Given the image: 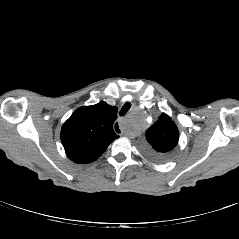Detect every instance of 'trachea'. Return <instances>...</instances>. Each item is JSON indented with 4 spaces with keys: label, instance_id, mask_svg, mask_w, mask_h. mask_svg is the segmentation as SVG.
I'll use <instances>...</instances> for the list:
<instances>
[{
    "label": "trachea",
    "instance_id": "3493384b",
    "mask_svg": "<svg viewBox=\"0 0 239 239\" xmlns=\"http://www.w3.org/2000/svg\"><path fill=\"white\" fill-rule=\"evenodd\" d=\"M130 108H131V104L129 102L125 103L121 111L119 112L120 116H124Z\"/></svg>",
    "mask_w": 239,
    "mask_h": 239
}]
</instances>
